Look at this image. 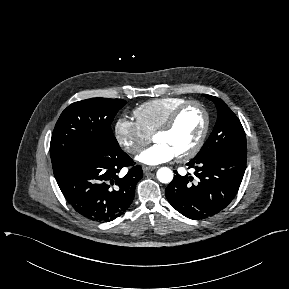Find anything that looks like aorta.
<instances>
[{"instance_id":"762f6f07","label":"aorta","mask_w":289,"mask_h":289,"mask_svg":"<svg viewBox=\"0 0 289 289\" xmlns=\"http://www.w3.org/2000/svg\"><path fill=\"white\" fill-rule=\"evenodd\" d=\"M156 176L161 183L165 184H168L173 180V172L168 167H161L158 169Z\"/></svg>"}]
</instances>
